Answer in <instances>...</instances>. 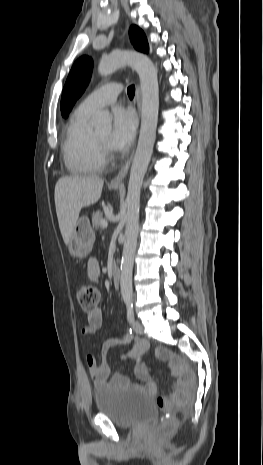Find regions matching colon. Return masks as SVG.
I'll return each instance as SVG.
<instances>
[{"instance_id": "1", "label": "colon", "mask_w": 263, "mask_h": 465, "mask_svg": "<svg viewBox=\"0 0 263 465\" xmlns=\"http://www.w3.org/2000/svg\"><path fill=\"white\" fill-rule=\"evenodd\" d=\"M77 299L83 311L93 312L97 309L100 291L93 285H81L77 290ZM186 384V378H181L175 392L170 397H160L157 400L159 407L167 413L159 427L162 435L171 433L177 427L176 411L186 399Z\"/></svg>"}]
</instances>
